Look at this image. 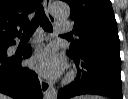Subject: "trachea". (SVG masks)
I'll return each mask as SVG.
<instances>
[{
    "instance_id": "obj_1",
    "label": "trachea",
    "mask_w": 128,
    "mask_h": 99,
    "mask_svg": "<svg viewBox=\"0 0 128 99\" xmlns=\"http://www.w3.org/2000/svg\"><path fill=\"white\" fill-rule=\"evenodd\" d=\"M39 24H41L42 28L45 31H47V32H52L53 31V27H52L49 19L45 15V12L43 10V6L42 5H40L37 8L35 16L31 20V22L23 27V35L22 36L23 37L32 36V34L36 30V28L39 26Z\"/></svg>"
}]
</instances>
